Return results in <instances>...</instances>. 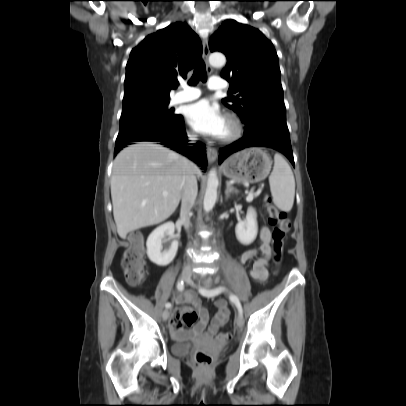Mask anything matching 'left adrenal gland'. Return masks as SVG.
Listing matches in <instances>:
<instances>
[{
	"mask_svg": "<svg viewBox=\"0 0 406 406\" xmlns=\"http://www.w3.org/2000/svg\"><path fill=\"white\" fill-rule=\"evenodd\" d=\"M231 194H237V190L231 184H229V182H226V190H225L226 200L230 197Z\"/></svg>",
	"mask_w": 406,
	"mask_h": 406,
	"instance_id": "obj_1",
	"label": "left adrenal gland"
}]
</instances>
